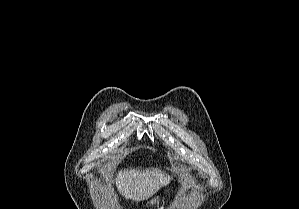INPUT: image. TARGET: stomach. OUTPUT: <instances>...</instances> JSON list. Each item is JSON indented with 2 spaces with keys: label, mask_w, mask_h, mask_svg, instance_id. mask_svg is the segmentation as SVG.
<instances>
[{
  "label": "stomach",
  "mask_w": 299,
  "mask_h": 209,
  "mask_svg": "<svg viewBox=\"0 0 299 209\" xmlns=\"http://www.w3.org/2000/svg\"><path fill=\"white\" fill-rule=\"evenodd\" d=\"M158 201V198L155 197V198H152V200H150V204H156V202Z\"/></svg>",
  "instance_id": "0dacf381"
}]
</instances>
